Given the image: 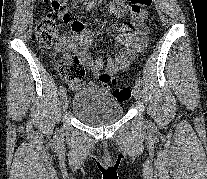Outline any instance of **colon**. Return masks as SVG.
I'll list each match as a JSON object with an SVG mask.
<instances>
[{
	"instance_id": "obj_1",
	"label": "colon",
	"mask_w": 207,
	"mask_h": 179,
	"mask_svg": "<svg viewBox=\"0 0 207 179\" xmlns=\"http://www.w3.org/2000/svg\"><path fill=\"white\" fill-rule=\"evenodd\" d=\"M50 8L47 13L38 19L36 25V37L40 46L49 49L55 39L56 25L52 19L53 14L68 11L66 0H47ZM151 4V0H131V11L135 15H140L145 8ZM144 41V38L142 39ZM58 73L62 80L78 84L85 77V69L74 51L65 50L58 64ZM101 82L111 90V93L120 101L130 99L131 89L128 87H117L116 79L113 76L103 74Z\"/></svg>"
}]
</instances>
